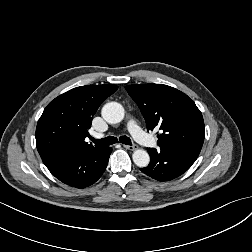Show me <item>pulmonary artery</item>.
I'll return each instance as SVG.
<instances>
[{
    "label": "pulmonary artery",
    "instance_id": "pulmonary-artery-1",
    "mask_svg": "<svg viewBox=\"0 0 252 252\" xmlns=\"http://www.w3.org/2000/svg\"><path fill=\"white\" fill-rule=\"evenodd\" d=\"M127 129L134 139L147 147H154L156 145L154 139L147 135L137 124V122L131 119L127 124Z\"/></svg>",
    "mask_w": 252,
    "mask_h": 252
}]
</instances>
